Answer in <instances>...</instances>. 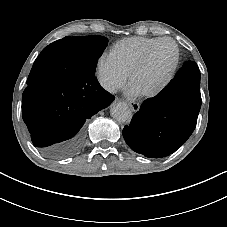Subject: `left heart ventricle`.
<instances>
[{"label":"left heart ventricle","mask_w":227,"mask_h":227,"mask_svg":"<svg viewBox=\"0 0 227 227\" xmlns=\"http://www.w3.org/2000/svg\"><path fill=\"white\" fill-rule=\"evenodd\" d=\"M176 55L173 44L162 42L151 53L146 66L139 71L131 85L140 93L156 88L167 75Z\"/></svg>","instance_id":"b2bd125f"}]
</instances>
